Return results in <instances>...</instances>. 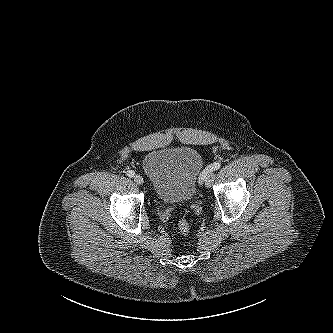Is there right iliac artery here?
Listing matches in <instances>:
<instances>
[{"instance_id":"obj_1","label":"right iliac artery","mask_w":333,"mask_h":333,"mask_svg":"<svg viewBox=\"0 0 333 333\" xmlns=\"http://www.w3.org/2000/svg\"><path fill=\"white\" fill-rule=\"evenodd\" d=\"M127 175L129 176V177H134V175H135V172L133 171V170H129L128 172H127Z\"/></svg>"}]
</instances>
